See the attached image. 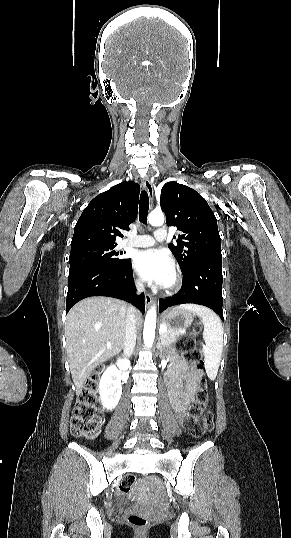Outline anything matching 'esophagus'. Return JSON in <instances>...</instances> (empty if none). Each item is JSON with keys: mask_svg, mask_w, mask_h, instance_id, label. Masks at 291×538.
I'll use <instances>...</instances> for the list:
<instances>
[{"mask_svg": "<svg viewBox=\"0 0 291 538\" xmlns=\"http://www.w3.org/2000/svg\"><path fill=\"white\" fill-rule=\"evenodd\" d=\"M142 184H143V187L145 188V190L148 193L150 202L152 203L153 202L154 192H153V186H152V183H151V180L149 179V177L143 178ZM153 302H154L153 296L151 294H149V293H145V303H146V305L150 306Z\"/></svg>", "mask_w": 291, "mask_h": 538, "instance_id": "34e87169", "label": "esophagus"}]
</instances>
